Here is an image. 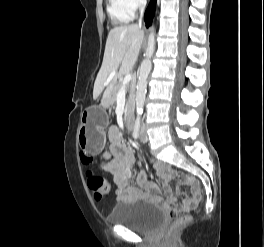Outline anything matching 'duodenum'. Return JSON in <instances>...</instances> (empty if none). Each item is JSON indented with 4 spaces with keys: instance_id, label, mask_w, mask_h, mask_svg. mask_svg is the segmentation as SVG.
<instances>
[{
    "instance_id": "obj_1",
    "label": "duodenum",
    "mask_w": 264,
    "mask_h": 247,
    "mask_svg": "<svg viewBox=\"0 0 264 247\" xmlns=\"http://www.w3.org/2000/svg\"><path fill=\"white\" fill-rule=\"evenodd\" d=\"M134 123V114L132 111H129L126 116V125L128 128H131Z\"/></svg>"
}]
</instances>
